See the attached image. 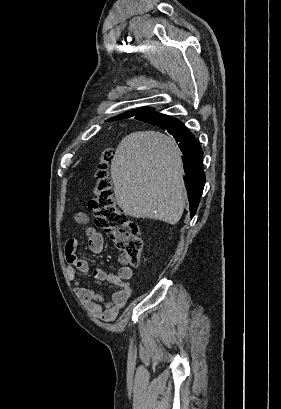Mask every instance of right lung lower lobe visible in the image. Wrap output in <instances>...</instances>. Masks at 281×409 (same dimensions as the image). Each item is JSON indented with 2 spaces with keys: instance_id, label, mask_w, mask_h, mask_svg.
<instances>
[{
  "instance_id": "right-lung-lower-lobe-1",
  "label": "right lung lower lobe",
  "mask_w": 281,
  "mask_h": 409,
  "mask_svg": "<svg viewBox=\"0 0 281 409\" xmlns=\"http://www.w3.org/2000/svg\"><path fill=\"white\" fill-rule=\"evenodd\" d=\"M165 116L151 111L136 115V119L146 122L149 119ZM166 129L177 142L184 155L183 165L187 180V194L190 202V216L196 213L205 184V173L202 166L203 151L194 135L178 121Z\"/></svg>"
}]
</instances>
